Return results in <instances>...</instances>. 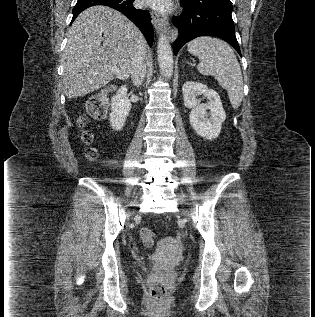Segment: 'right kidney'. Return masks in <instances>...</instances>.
Returning a JSON list of instances; mask_svg holds the SVG:
<instances>
[{
  "label": "right kidney",
  "instance_id": "right-kidney-1",
  "mask_svg": "<svg viewBox=\"0 0 315 317\" xmlns=\"http://www.w3.org/2000/svg\"><path fill=\"white\" fill-rule=\"evenodd\" d=\"M127 87L121 86L117 94L111 98L110 124L113 130L120 131L125 125L131 110V103L127 97Z\"/></svg>",
  "mask_w": 315,
  "mask_h": 317
}]
</instances>
